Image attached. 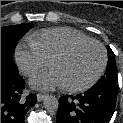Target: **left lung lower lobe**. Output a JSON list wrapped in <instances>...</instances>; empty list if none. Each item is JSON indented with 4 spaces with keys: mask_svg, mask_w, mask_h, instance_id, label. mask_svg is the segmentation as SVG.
<instances>
[{
    "mask_svg": "<svg viewBox=\"0 0 123 123\" xmlns=\"http://www.w3.org/2000/svg\"><path fill=\"white\" fill-rule=\"evenodd\" d=\"M118 89L93 86L84 94L59 99L57 123H108Z\"/></svg>",
    "mask_w": 123,
    "mask_h": 123,
    "instance_id": "1",
    "label": "left lung lower lobe"
}]
</instances>
